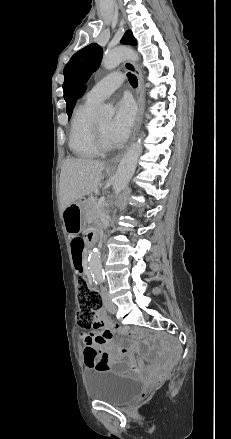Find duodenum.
<instances>
[{"label": "duodenum", "mask_w": 231, "mask_h": 439, "mask_svg": "<svg viewBox=\"0 0 231 439\" xmlns=\"http://www.w3.org/2000/svg\"><path fill=\"white\" fill-rule=\"evenodd\" d=\"M90 234H91V236L89 238V242L92 243L95 240V234H94V232H91Z\"/></svg>", "instance_id": "1"}]
</instances>
